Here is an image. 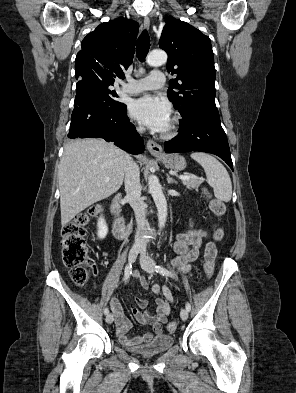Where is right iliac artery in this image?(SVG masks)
Here are the masks:
<instances>
[{
    "label": "right iliac artery",
    "instance_id": "obj_1",
    "mask_svg": "<svg viewBox=\"0 0 296 393\" xmlns=\"http://www.w3.org/2000/svg\"><path fill=\"white\" fill-rule=\"evenodd\" d=\"M131 273H132V265L130 263V264L126 265V267H125V273H124L123 280L124 281L128 280L130 275H131ZM108 313H109V309L105 308L104 309V314L107 315Z\"/></svg>",
    "mask_w": 296,
    "mask_h": 393
}]
</instances>
